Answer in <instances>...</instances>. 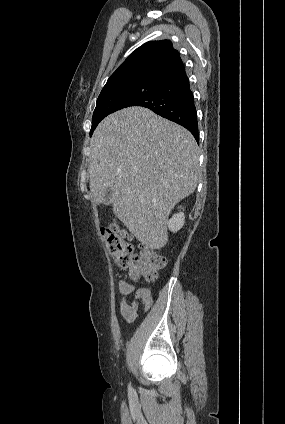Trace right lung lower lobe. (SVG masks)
<instances>
[{
  "instance_id": "98d812e1",
  "label": "right lung lower lobe",
  "mask_w": 285,
  "mask_h": 424,
  "mask_svg": "<svg viewBox=\"0 0 285 424\" xmlns=\"http://www.w3.org/2000/svg\"><path fill=\"white\" fill-rule=\"evenodd\" d=\"M130 106L146 107L189 130L199 143L197 113L186 73L164 83Z\"/></svg>"
}]
</instances>
